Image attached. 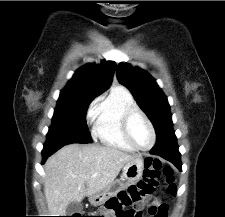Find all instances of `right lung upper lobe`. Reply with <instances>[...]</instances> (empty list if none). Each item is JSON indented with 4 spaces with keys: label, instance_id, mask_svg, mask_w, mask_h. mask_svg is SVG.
<instances>
[{
    "label": "right lung upper lobe",
    "instance_id": "cb5924a9",
    "mask_svg": "<svg viewBox=\"0 0 225 217\" xmlns=\"http://www.w3.org/2000/svg\"><path fill=\"white\" fill-rule=\"evenodd\" d=\"M115 68L116 64L112 61L82 66L61 91L60 96L97 97L109 88Z\"/></svg>",
    "mask_w": 225,
    "mask_h": 217
}]
</instances>
